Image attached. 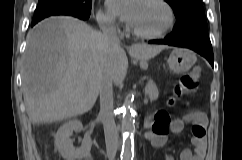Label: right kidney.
<instances>
[{
	"label": "right kidney",
	"mask_w": 242,
	"mask_h": 160,
	"mask_svg": "<svg viewBox=\"0 0 242 160\" xmlns=\"http://www.w3.org/2000/svg\"><path fill=\"white\" fill-rule=\"evenodd\" d=\"M81 130L83 126L78 120L68 121L58 129L55 135V145L66 160H81L90 155L92 141L89 134L85 135L84 142L79 148L73 146V140L70 138L73 131Z\"/></svg>",
	"instance_id": "right-kidney-1"
}]
</instances>
